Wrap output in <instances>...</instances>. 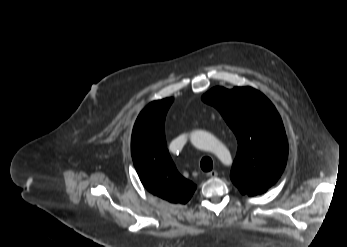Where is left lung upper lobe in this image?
Returning <instances> with one entry per match:
<instances>
[{"label": "left lung upper lobe", "mask_w": 347, "mask_h": 247, "mask_svg": "<svg viewBox=\"0 0 347 247\" xmlns=\"http://www.w3.org/2000/svg\"><path fill=\"white\" fill-rule=\"evenodd\" d=\"M202 100L214 106L238 141L231 180L249 196L276 183L287 161L288 143L280 115L262 93L251 87H215Z\"/></svg>", "instance_id": "5c2ea615"}]
</instances>
